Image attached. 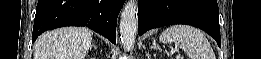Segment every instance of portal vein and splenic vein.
I'll list each match as a JSON object with an SVG mask.
<instances>
[{
	"label": "portal vein and splenic vein",
	"mask_w": 261,
	"mask_h": 59,
	"mask_svg": "<svg viewBox=\"0 0 261 59\" xmlns=\"http://www.w3.org/2000/svg\"><path fill=\"white\" fill-rule=\"evenodd\" d=\"M177 51V49H175L173 52H176Z\"/></svg>",
	"instance_id": "portal-vein-and-splenic-vein-1"
}]
</instances>
